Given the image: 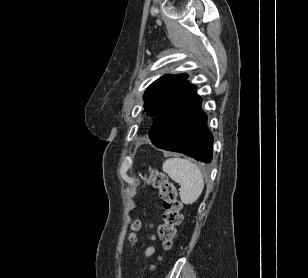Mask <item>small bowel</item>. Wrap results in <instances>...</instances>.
I'll return each mask as SVG.
<instances>
[{
    "label": "small bowel",
    "mask_w": 308,
    "mask_h": 278,
    "mask_svg": "<svg viewBox=\"0 0 308 278\" xmlns=\"http://www.w3.org/2000/svg\"><path fill=\"white\" fill-rule=\"evenodd\" d=\"M153 238V237H152ZM153 252V247H149L146 251L147 255H150Z\"/></svg>",
    "instance_id": "c3829d8e"
}]
</instances>
